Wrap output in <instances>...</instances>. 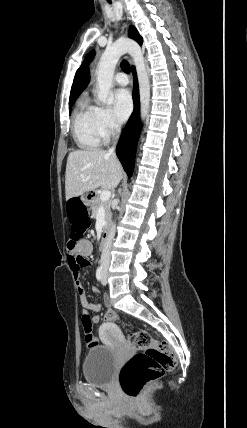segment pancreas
<instances>
[{"label": "pancreas", "instance_id": "obj_1", "mask_svg": "<svg viewBox=\"0 0 247 428\" xmlns=\"http://www.w3.org/2000/svg\"><path fill=\"white\" fill-rule=\"evenodd\" d=\"M100 206L104 207V210H105V220L109 221L110 218H111V211H110L111 204L108 201L102 202L101 199H100V195L97 193L95 195V198H94V200L92 202V205H91L92 214L94 216L97 214V211H98V209H99Z\"/></svg>", "mask_w": 247, "mask_h": 428}]
</instances>
